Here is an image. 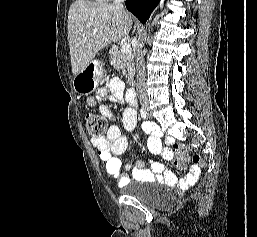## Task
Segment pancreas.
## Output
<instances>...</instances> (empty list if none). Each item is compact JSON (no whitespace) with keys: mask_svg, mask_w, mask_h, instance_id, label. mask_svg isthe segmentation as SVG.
<instances>
[{"mask_svg":"<svg viewBox=\"0 0 257 237\" xmlns=\"http://www.w3.org/2000/svg\"><path fill=\"white\" fill-rule=\"evenodd\" d=\"M110 59L115 61L118 65L123 64L126 69L128 83H133V77L135 74V64H134V56L132 51H128L126 53H121L118 49V46L114 45L109 51Z\"/></svg>","mask_w":257,"mask_h":237,"instance_id":"pancreas-1","label":"pancreas"}]
</instances>
